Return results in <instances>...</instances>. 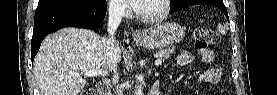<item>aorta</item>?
<instances>
[{
    "instance_id": "762f6f07",
    "label": "aorta",
    "mask_w": 277,
    "mask_h": 95,
    "mask_svg": "<svg viewBox=\"0 0 277 95\" xmlns=\"http://www.w3.org/2000/svg\"><path fill=\"white\" fill-rule=\"evenodd\" d=\"M135 95H143V88L141 85L136 86Z\"/></svg>"
}]
</instances>
